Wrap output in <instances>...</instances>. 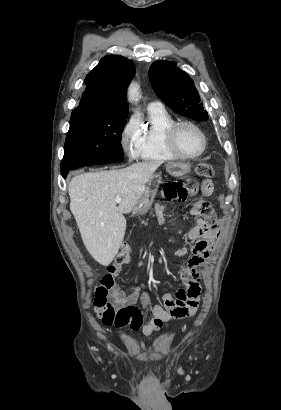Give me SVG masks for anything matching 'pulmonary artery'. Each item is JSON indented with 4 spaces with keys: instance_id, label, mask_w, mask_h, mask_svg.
I'll list each match as a JSON object with an SVG mask.
<instances>
[{
    "instance_id": "pulmonary-artery-1",
    "label": "pulmonary artery",
    "mask_w": 281,
    "mask_h": 410,
    "mask_svg": "<svg viewBox=\"0 0 281 410\" xmlns=\"http://www.w3.org/2000/svg\"><path fill=\"white\" fill-rule=\"evenodd\" d=\"M160 106H162V104H161L160 102H158V101H154V102H151V103L149 104V107H150V108H152V107H160Z\"/></svg>"
}]
</instances>
